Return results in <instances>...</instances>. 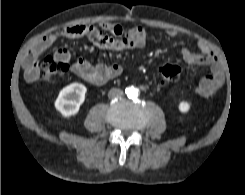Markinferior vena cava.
<instances>
[{"label": "inferior vena cava", "instance_id": "inferior-vena-cava-1", "mask_svg": "<svg viewBox=\"0 0 245 195\" xmlns=\"http://www.w3.org/2000/svg\"><path fill=\"white\" fill-rule=\"evenodd\" d=\"M123 94H124L123 90H121L119 88H112V89H110V91L108 93V97L110 99L120 98L123 96Z\"/></svg>", "mask_w": 245, "mask_h": 195}]
</instances>
